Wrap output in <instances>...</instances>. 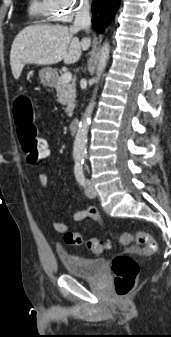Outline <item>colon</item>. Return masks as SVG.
<instances>
[{
	"instance_id": "5ec220e1",
	"label": "colon",
	"mask_w": 171,
	"mask_h": 337,
	"mask_svg": "<svg viewBox=\"0 0 171 337\" xmlns=\"http://www.w3.org/2000/svg\"><path fill=\"white\" fill-rule=\"evenodd\" d=\"M14 116L17 134L29 164L46 161L52 155L53 144H48V138L42 137L35 124L34 112L31 101L26 95H19L14 101ZM69 245H81L83 238L79 232L68 231L64 236ZM117 241L122 246H129L132 242L137 245V250L143 253H154L157 242L149 232H120ZM87 248L94 253H101L110 247V242L101 239H90ZM114 274V288L118 295L125 296L132 292L139 274V266L135 259L128 255H118L112 261Z\"/></svg>"
}]
</instances>
